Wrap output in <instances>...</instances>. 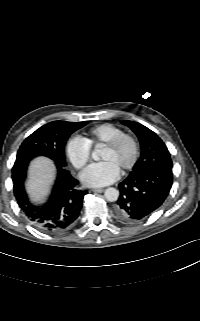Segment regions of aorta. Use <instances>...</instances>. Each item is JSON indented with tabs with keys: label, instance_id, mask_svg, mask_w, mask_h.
<instances>
[{
	"label": "aorta",
	"instance_id": "762f6f07",
	"mask_svg": "<svg viewBox=\"0 0 200 321\" xmlns=\"http://www.w3.org/2000/svg\"><path fill=\"white\" fill-rule=\"evenodd\" d=\"M96 155H97V153L93 152V158H95ZM104 196L108 201L114 202V201H117V199L119 197V191L113 187H109L105 190Z\"/></svg>",
	"mask_w": 200,
	"mask_h": 321
}]
</instances>
